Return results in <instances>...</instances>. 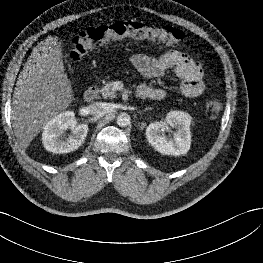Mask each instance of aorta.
<instances>
[{
  "mask_svg": "<svg viewBox=\"0 0 263 263\" xmlns=\"http://www.w3.org/2000/svg\"><path fill=\"white\" fill-rule=\"evenodd\" d=\"M131 118L127 113H121L117 116V124L120 127H126L130 124Z\"/></svg>",
  "mask_w": 263,
  "mask_h": 263,
  "instance_id": "aorta-1",
  "label": "aorta"
}]
</instances>
